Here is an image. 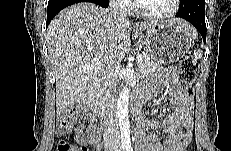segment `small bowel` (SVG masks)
I'll return each mask as SVG.
<instances>
[{
  "mask_svg": "<svg viewBox=\"0 0 231 151\" xmlns=\"http://www.w3.org/2000/svg\"><path fill=\"white\" fill-rule=\"evenodd\" d=\"M180 79L175 69H168L142 93L150 98L157 90L167 93L170 111L161 121L141 118L136 135L138 151H180L192 138L193 103L191 97L179 90ZM142 100V96L140 97ZM94 123V120H91ZM149 129L155 132L150 133ZM165 130L168 135L162 137L158 131ZM98 142V131L92 125L88 130V139L84 144L91 146Z\"/></svg>",
  "mask_w": 231,
  "mask_h": 151,
  "instance_id": "c3829d8e",
  "label": "small bowel"
}]
</instances>
